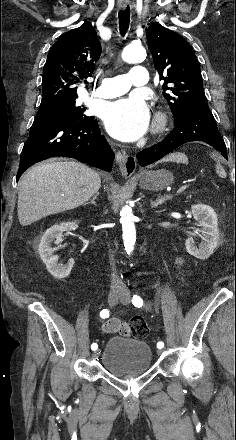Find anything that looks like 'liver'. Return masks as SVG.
I'll return each instance as SVG.
<instances>
[{
  "instance_id": "liver-1",
  "label": "liver",
  "mask_w": 236,
  "mask_h": 440,
  "mask_svg": "<svg viewBox=\"0 0 236 440\" xmlns=\"http://www.w3.org/2000/svg\"><path fill=\"white\" fill-rule=\"evenodd\" d=\"M166 161L186 163L187 158L171 154ZM100 187V175L79 162H52L32 167L19 182V222L28 226L48 215L75 209Z\"/></svg>"
}]
</instances>
